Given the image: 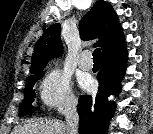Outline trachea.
<instances>
[{"label": "trachea", "instance_id": "obj_1", "mask_svg": "<svg viewBox=\"0 0 153 134\" xmlns=\"http://www.w3.org/2000/svg\"><path fill=\"white\" fill-rule=\"evenodd\" d=\"M101 50L99 48L95 49L93 52V60L100 61Z\"/></svg>", "mask_w": 153, "mask_h": 134}]
</instances>
